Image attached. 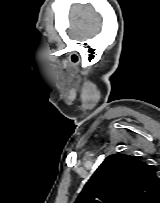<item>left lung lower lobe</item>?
Here are the masks:
<instances>
[{"label": "left lung lower lobe", "instance_id": "obj_1", "mask_svg": "<svg viewBox=\"0 0 160 203\" xmlns=\"http://www.w3.org/2000/svg\"><path fill=\"white\" fill-rule=\"evenodd\" d=\"M153 203H160V194L158 195V197L155 199Z\"/></svg>", "mask_w": 160, "mask_h": 203}]
</instances>
